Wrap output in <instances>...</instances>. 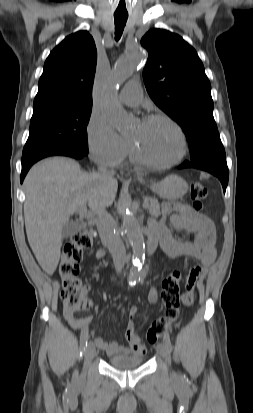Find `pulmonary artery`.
Returning a JSON list of instances; mask_svg holds the SVG:
<instances>
[{"instance_id": "obj_1", "label": "pulmonary artery", "mask_w": 253, "mask_h": 413, "mask_svg": "<svg viewBox=\"0 0 253 413\" xmlns=\"http://www.w3.org/2000/svg\"><path fill=\"white\" fill-rule=\"evenodd\" d=\"M142 97V89L138 81H132L126 84L119 94L120 101L128 106L139 105Z\"/></svg>"}]
</instances>
